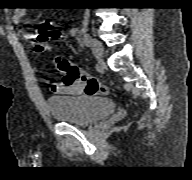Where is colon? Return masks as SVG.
I'll use <instances>...</instances> for the list:
<instances>
[{"label": "colon", "mask_w": 192, "mask_h": 180, "mask_svg": "<svg viewBox=\"0 0 192 180\" xmlns=\"http://www.w3.org/2000/svg\"><path fill=\"white\" fill-rule=\"evenodd\" d=\"M61 33L54 28H43L33 35L34 50L43 53L47 45L59 40ZM56 67L63 75V83L76 85L83 89L87 95H104L108 93V87L97 77L90 75L79 65L72 63L65 57L56 58Z\"/></svg>", "instance_id": "colon-1"}]
</instances>
